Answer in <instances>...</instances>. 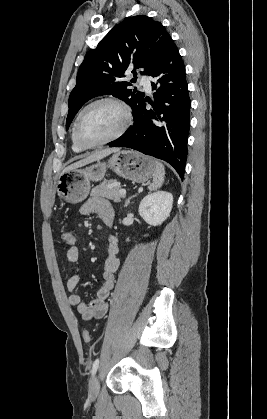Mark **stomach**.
Here are the masks:
<instances>
[{
	"label": "stomach",
	"instance_id": "obj_1",
	"mask_svg": "<svg viewBox=\"0 0 267 419\" xmlns=\"http://www.w3.org/2000/svg\"><path fill=\"white\" fill-rule=\"evenodd\" d=\"M108 168L127 180L142 183L154 175L155 162L138 152L119 150L107 161L98 160L83 169L62 173L56 185L60 199L74 204L82 202L89 194L90 182L102 180Z\"/></svg>",
	"mask_w": 267,
	"mask_h": 419
}]
</instances>
